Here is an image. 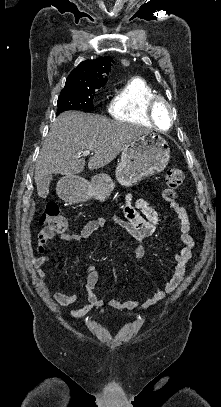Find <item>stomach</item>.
<instances>
[{
    "mask_svg": "<svg viewBox=\"0 0 221 407\" xmlns=\"http://www.w3.org/2000/svg\"><path fill=\"white\" fill-rule=\"evenodd\" d=\"M170 147L159 134L148 131L131 141L122 151L116 167V179L130 187L143 178L160 173L168 165ZM114 189L111 177L97 174L87 181L79 176H66L58 184L59 196L68 203H83L90 199L105 201Z\"/></svg>",
    "mask_w": 221,
    "mask_h": 407,
    "instance_id": "0dacf381",
    "label": "stomach"
}]
</instances>
